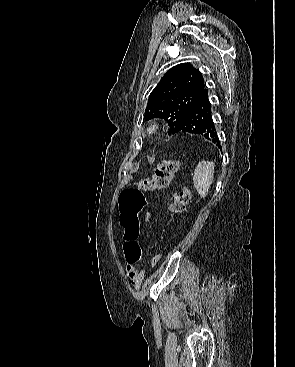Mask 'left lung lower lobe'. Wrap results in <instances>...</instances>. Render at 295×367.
<instances>
[{"mask_svg": "<svg viewBox=\"0 0 295 367\" xmlns=\"http://www.w3.org/2000/svg\"><path fill=\"white\" fill-rule=\"evenodd\" d=\"M211 108L208 90L205 89L195 104L188 110L181 123L174 129L173 134L187 132L201 135L221 149L215 124L212 119Z\"/></svg>", "mask_w": 295, "mask_h": 367, "instance_id": "left-lung-lower-lobe-1", "label": "left lung lower lobe"}]
</instances>
